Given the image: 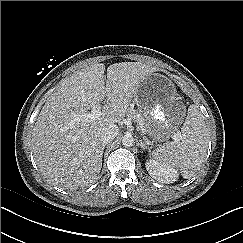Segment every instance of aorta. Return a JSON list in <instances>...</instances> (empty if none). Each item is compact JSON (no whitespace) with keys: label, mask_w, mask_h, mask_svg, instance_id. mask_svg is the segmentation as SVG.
Returning <instances> with one entry per match:
<instances>
[{"label":"aorta","mask_w":243,"mask_h":243,"mask_svg":"<svg viewBox=\"0 0 243 243\" xmlns=\"http://www.w3.org/2000/svg\"><path fill=\"white\" fill-rule=\"evenodd\" d=\"M134 144V138L131 135H124L122 138V145L124 147H131Z\"/></svg>","instance_id":"obj_1"}]
</instances>
